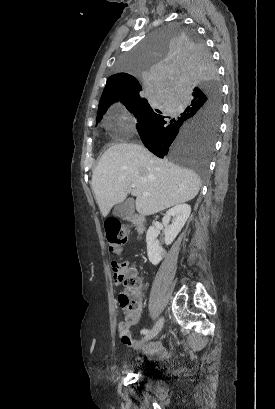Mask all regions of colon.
Segmentation results:
<instances>
[{
    "mask_svg": "<svg viewBox=\"0 0 275 409\" xmlns=\"http://www.w3.org/2000/svg\"><path fill=\"white\" fill-rule=\"evenodd\" d=\"M106 240L114 253H121L127 241L126 231L118 219H109L104 226ZM128 257H122L121 261L111 263L112 273L120 275V281L124 292L118 295L121 307L127 314V318L118 325H132L139 315L143 297L139 290L143 286V280L133 273L135 262H130ZM124 264H128L124 266Z\"/></svg>",
    "mask_w": 275,
    "mask_h": 409,
    "instance_id": "obj_1",
    "label": "colon"
}]
</instances>
